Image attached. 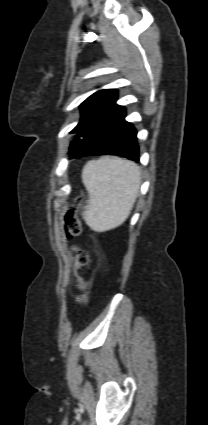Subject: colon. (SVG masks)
Wrapping results in <instances>:
<instances>
[{
    "label": "colon",
    "mask_w": 208,
    "mask_h": 425,
    "mask_svg": "<svg viewBox=\"0 0 208 425\" xmlns=\"http://www.w3.org/2000/svg\"><path fill=\"white\" fill-rule=\"evenodd\" d=\"M82 201V196L77 198V205L72 209L68 210L65 219H64V228L65 235L67 238L77 237L82 232V224L80 220V203ZM74 252L76 253L75 262H74V274L77 285V294L76 299L78 303L82 305H87L89 301V291H88V281L81 274V269L85 267L89 262V254L87 250L74 246Z\"/></svg>",
    "instance_id": "colon-1"
}]
</instances>
